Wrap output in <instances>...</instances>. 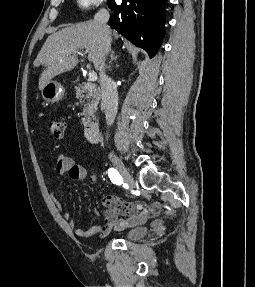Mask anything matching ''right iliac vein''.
I'll return each mask as SVG.
<instances>
[{
    "mask_svg": "<svg viewBox=\"0 0 255 287\" xmlns=\"http://www.w3.org/2000/svg\"><path fill=\"white\" fill-rule=\"evenodd\" d=\"M110 160L112 161L113 165L116 167V169L119 171L121 174L123 180L125 183L130 187H134V181L129 174L128 170L126 167L123 165V163L120 161V159L113 153L110 154Z\"/></svg>",
    "mask_w": 255,
    "mask_h": 287,
    "instance_id": "right-iliac-vein-1",
    "label": "right iliac vein"
}]
</instances>
